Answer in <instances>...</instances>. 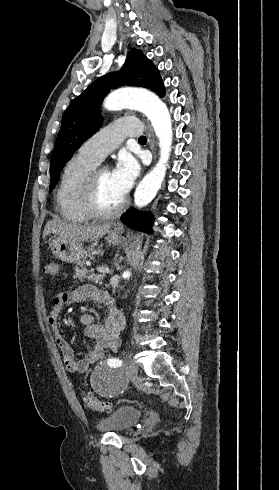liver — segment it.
Wrapping results in <instances>:
<instances>
[{
  "label": "liver",
  "mask_w": 279,
  "mask_h": 490,
  "mask_svg": "<svg viewBox=\"0 0 279 490\" xmlns=\"http://www.w3.org/2000/svg\"><path fill=\"white\" fill-rule=\"evenodd\" d=\"M111 230V224H102V226H76V224H65L59 218L47 222L43 238L49 234H55L63 240H72V242H89V240H99Z\"/></svg>",
  "instance_id": "obj_1"
}]
</instances>
